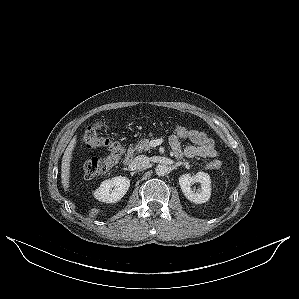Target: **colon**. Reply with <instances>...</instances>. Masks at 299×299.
<instances>
[{
    "label": "colon",
    "instance_id": "5ec220e1",
    "mask_svg": "<svg viewBox=\"0 0 299 299\" xmlns=\"http://www.w3.org/2000/svg\"><path fill=\"white\" fill-rule=\"evenodd\" d=\"M102 124L94 123L88 126L83 133V141L88 148L100 149L104 148L108 151V155L103 158L91 157L83 164L84 175L87 178L107 174L121 159L124 149L120 143L105 138L100 134ZM198 130L190 129L182 125L172 127L173 135L179 139L191 140L195 137ZM213 167H219V162H213Z\"/></svg>",
    "mask_w": 299,
    "mask_h": 299
}]
</instances>
